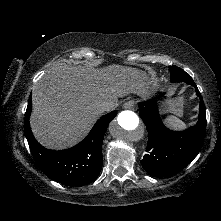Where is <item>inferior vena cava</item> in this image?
Wrapping results in <instances>:
<instances>
[{"mask_svg":"<svg viewBox=\"0 0 221 221\" xmlns=\"http://www.w3.org/2000/svg\"><path fill=\"white\" fill-rule=\"evenodd\" d=\"M112 109V106L109 103H103L99 106L98 108V112L100 114L104 113V112H108Z\"/></svg>","mask_w":221,"mask_h":221,"instance_id":"obj_1","label":"inferior vena cava"}]
</instances>
